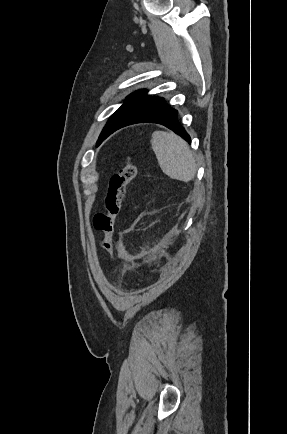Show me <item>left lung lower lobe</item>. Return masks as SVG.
<instances>
[{"label": "left lung lower lobe", "mask_w": 287, "mask_h": 434, "mask_svg": "<svg viewBox=\"0 0 287 434\" xmlns=\"http://www.w3.org/2000/svg\"><path fill=\"white\" fill-rule=\"evenodd\" d=\"M177 111L169 107L164 100L153 103L128 118L118 129L134 123L151 122L158 123L173 130L187 142H191L190 136L182 127L177 118ZM117 129V130H118Z\"/></svg>", "instance_id": "obj_1"}]
</instances>
